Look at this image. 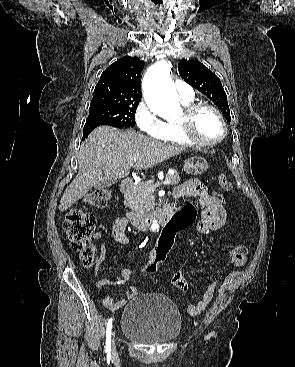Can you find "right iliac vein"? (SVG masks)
<instances>
[{
  "mask_svg": "<svg viewBox=\"0 0 295 367\" xmlns=\"http://www.w3.org/2000/svg\"><path fill=\"white\" fill-rule=\"evenodd\" d=\"M113 335V339H112V354L115 355L116 353V345H115V340H114V333Z\"/></svg>",
  "mask_w": 295,
  "mask_h": 367,
  "instance_id": "right-iliac-vein-1",
  "label": "right iliac vein"
}]
</instances>
